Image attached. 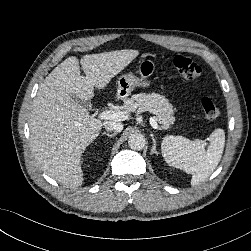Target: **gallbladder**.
Segmentation results:
<instances>
[{
  "label": "gallbladder",
  "instance_id": "1",
  "mask_svg": "<svg viewBox=\"0 0 251 251\" xmlns=\"http://www.w3.org/2000/svg\"><path fill=\"white\" fill-rule=\"evenodd\" d=\"M74 100H75V102H77L79 105H81L85 109H87V110L91 109L92 104L89 101H84L79 98H74Z\"/></svg>",
  "mask_w": 251,
  "mask_h": 251
}]
</instances>
